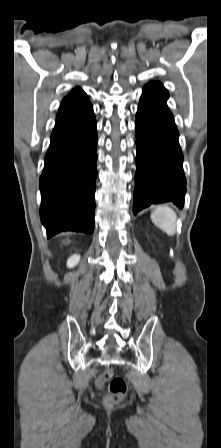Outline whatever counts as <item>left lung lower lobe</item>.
I'll return each mask as SVG.
<instances>
[{
  "mask_svg": "<svg viewBox=\"0 0 221 448\" xmlns=\"http://www.w3.org/2000/svg\"><path fill=\"white\" fill-rule=\"evenodd\" d=\"M169 94L143 88L136 114V165L133 212L172 202L183 207L186 179L179 132L167 106Z\"/></svg>",
  "mask_w": 221,
  "mask_h": 448,
  "instance_id": "obj_1",
  "label": "left lung lower lobe"
}]
</instances>
